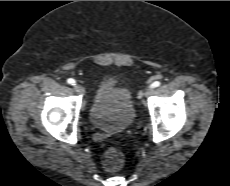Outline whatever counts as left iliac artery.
<instances>
[{
	"label": "left iliac artery",
	"instance_id": "obj_1",
	"mask_svg": "<svg viewBox=\"0 0 230 186\" xmlns=\"http://www.w3.org/2000/svg\"><path fill=\"white\" fill-rule=\"evenodd\" d=\"M161 85V83L159 82V81H155V82H153L151 85H150V87L151 88H155V87H158V86H160Z\"/></svg>",
	"mask_w": 230,
	"mask_h": 186
}]
</instances>
